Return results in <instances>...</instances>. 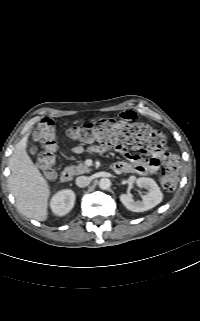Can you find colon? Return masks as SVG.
<instances>
[{
  "mask_svg": "<svg viewBox=\"0 0 200 321\" xmlns=\"http://www.w3.org/2000/svg\"><path fill=\"white\" fill-rule=\"evenodd\" d=\"M69 134L85 143L111 145L120 151L131 148L161 152L165 165L160 176L161 185L166 191L176 189L181 172L177 157L166 152L167 145L164 136L159 131L138 121L135 117L122 116L119 119H103L95 123L73 127L69 130ZM34 139L43 148L39 159L40 167L47 177H52L56 163L54 121L49 118L43 119L36 129Z\"/></svg>",
  "mask_w": 200,
  "mask_h": 321,
  "instance_id": "colon-1",
  "label": "colon"
}]
</instances>
